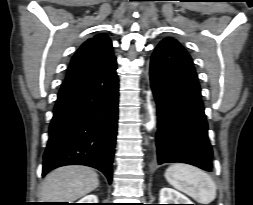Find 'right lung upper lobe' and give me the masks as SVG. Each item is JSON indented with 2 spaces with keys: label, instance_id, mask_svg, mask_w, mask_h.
Returning <instances> with one entry per match:
<instances>
[{
  "label": "right lung upper lobe",
  "instance_id": "obj_1",
  "mask_svg": "<svg viewBox=\"0 0 253 205\" xmlns=\"http://www.w3.org/2000/svg\"><path fill=\"white\" fill-rule=\"evenodd\" d=\"M116 58L113 55L112 43L106 34H99L88 39L73 56L66 79L100 70Z\"/></svg>",
  "mask_w": 253,
  "mask_h": 205
}]
</instances>
